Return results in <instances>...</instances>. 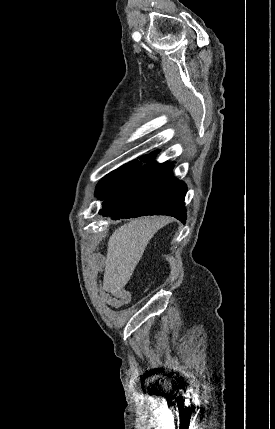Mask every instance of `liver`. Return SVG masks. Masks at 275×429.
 Masks as SVG:
<instances>
[{"label": "liver", "instance_id": "liver-1", "mask_svg": "<svg viewBox=\"0 0 275 429\" xmlns=\"http://www.w3.org/2000/svg\"><path fill=\"white\" fill-rule=\"evenodd\" d=\"M170 219L143 217L120 226L110 236L103 286L113 295L123 290L154 234Z\"/></svg>", "mask_w": 275, "mask_h": 429}]
</instances>
